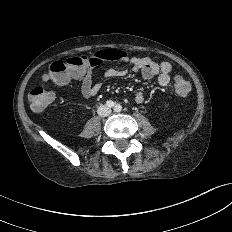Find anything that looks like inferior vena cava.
<instances>
[{"instance_id":"inferior-vena-cava-1","label":"inferior vena cava","mask_w":232,"mask_h":232,"mask_svg":"<svg viewBox=\"0 0 232 232\" xmlns=\"http://www.w3.org/2000/svg\"><path fill=\"white\" fill-rule=\"evenodd\" d=\"M97 113L99 116L106 117V116L110 115L111 109L106 105H100L98 107Z\"/></svg>"}]
</instances>
